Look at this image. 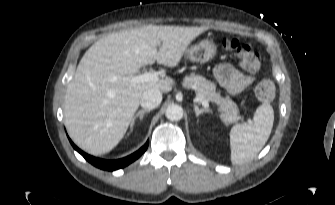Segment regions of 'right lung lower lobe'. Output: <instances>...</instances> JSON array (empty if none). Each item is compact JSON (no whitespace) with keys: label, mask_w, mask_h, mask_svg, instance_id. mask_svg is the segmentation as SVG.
Returning a JSON list of instances; mask_svg holds the SVG:
<instances>
[{"label":"right lung lower lobe","mask_w":335,"mask_h":205,"mask_svg":"<svg viewBox=\"0 0 335 205\" xmlns=\"http://www.w3.org/2000/svg\"><path fill=\"white\" fill-rule=\"evenodd\" d=\"M70 143L72 144L73 148L76 151H78L88 162H90L94 166L100 169H103V170L113 171L119 168H123L129 165L131 162L138 159L146 151L149 141H147L146 144L143 147H141L138 151H136L135 153L125 158L118 159V160H103V159L95 158L81 151L78 147L74 145V143L71 140H70Z\"/></svg>","instance_id":"1"}]
</instances>
